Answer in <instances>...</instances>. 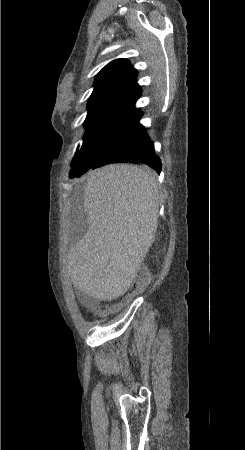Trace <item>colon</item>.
I'll list each match as a JSON object with an SVG mask.
<instances>
[{
  "label": "colon",
  "instance_id": "colon-1",
  "mask_svg": "<svg viewBox=\"0 0 245 450\" xmlns=\"http://www.w3.org/2000/svg\"><path fill=\"white\" fill-rule=\"evenodd\" d=\"M147 286L146 276L142 273H137L134 281L129 287V295L133 296L140 293Z\"/></svg>",
  "mask_w": 245,
  "mask_h": 450
}]
</instances>
